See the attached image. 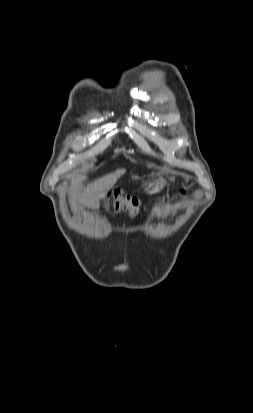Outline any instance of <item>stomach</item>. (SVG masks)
Listing matches in <instances>:
<instances>
[{"label": "stomach", "mask_w": 253, "mask_h": 413, "mask_svg": "<svg viewBox=\"0 0 253 413\" xmlns=\"http://www.w3.org/2000/svg\"><path fill=\"white\" fill-rule=\"evenodd\" d=\"M164 185L165 180L163 178H148L143 182L142 187L147 193L153 194L159 192L164 187Z\"/></svg>", "instance_id": "0dacf381"}]
</instances>
